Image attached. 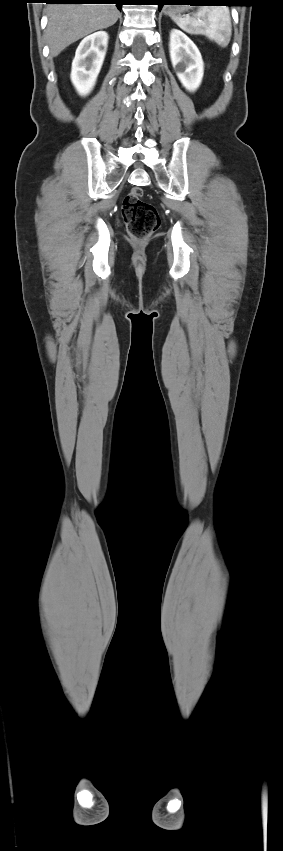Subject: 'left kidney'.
Segmentation results:
<instances>
[{"label":"left kidney","instance_id":"5707ae66","mask_svg":"<svg viewBox=\"0 0 283 851\" xmlns=\"http://www.w3.org/2000/svg\"><path fill=\"white\" fill-rule=\"evenodd\" d=\"M170 58L182 85L190 92L200 86L204 63L196 45L183 32L173 29L170 33Z\"/></svg>","mask_w":283,"mask_h":851}]
</instances>
